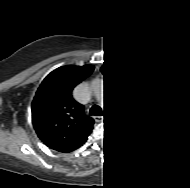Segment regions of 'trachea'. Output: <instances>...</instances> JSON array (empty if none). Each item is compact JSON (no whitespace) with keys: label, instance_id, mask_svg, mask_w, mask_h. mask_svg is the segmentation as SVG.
Segmentation results:
<instances>
[{"label":"trachea","instance_id":"3493384b","mask_svg":"<svg viewBox=\"0 0 190 188\" xmlns=\"http://www.w3.org/2000/svg\"><path fill=\"white\" fill-rule=\"evenodd\" d=\"M90 115H93V116H102L103 115V112H102V109L99 105H92V107L90 108Z\"/></svg>","mask_w":190,"mask_h":188}]
</instances>
